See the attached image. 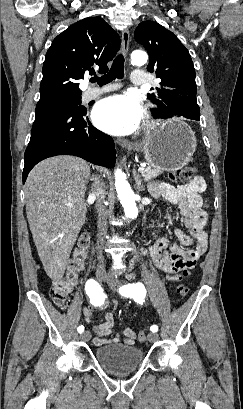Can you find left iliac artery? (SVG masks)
<instances>
[{
    "label": "left iliac artery",
    "mask_w": 243,
    "mask_h": 409,
    "mask_svg": "<svg viewBox=\"0 0 243 409\" xmlns=\"http://www.w3.org/2000/svg\"><path fill=\"white\" fill-rule=\"evenodd\" d=\"M119 292L123 296L137 299V302H139L138 299H143L146 294L145 287L141 283L125 285L119 289ZM142 302L143 300H141V303ZM150 330L155 333L158 331V326L152 325Z\"/></svg>",
    "instance_id": "obj_1"
}]
</instances>
